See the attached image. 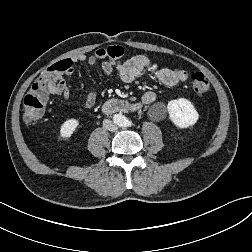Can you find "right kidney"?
I'll return each instance as SVG.
<instances>
[{
    "mask_svg": "<svg viewBox=\"0 0 252 252\" xmlns=\"http://www.w3.org/2000/svg\"><path fill=\"white\" fill-rule=\"evenodd\" d=\"M78 125L79 121L76 119L66 120L60 128V137L62 139L70 138L74 133V131L76 130V128L78 127Z\"/></svg>",
    "mask_w": 252,
    "mask_h": 252,
    "instance_id": "ca27d5eb",
    "label": "right kidney"
}]
</instances>
